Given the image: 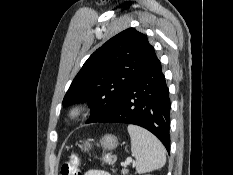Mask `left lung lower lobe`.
<instances>
[{
  "label": "left lung lower lobe",
  "mask_w": 233,
  "mask_h": 175,
  "mask_svg": "<svg viewBox=\"0 0 233 175\" xmlns=\"http://www.w3.org/2000/svg\"><path fill=\"white\" fill-rule=\"evenodd\" d=\"M97 122L141 126L152 132L169 151V90L156 54L128 86L115 107Z\"/></svg>",
  "instance_id": "1"
}]
</instances>
